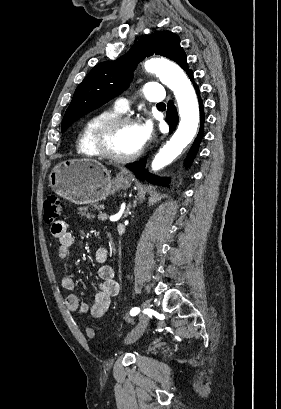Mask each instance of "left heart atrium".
Instances as JSON below:
<instances>
[{"label":"left heart atrium","instance_id":"1","mask_svg":"<svg viewBox=\"0 0 281 409\" xmlns=\"http://www.w3.org/2000/svg\"><path fill=\"white\" fill-rule=\"evenodd\" d=\"M139 138L141 144L144 145L152 136V125L150 122H145L138 126Z\"/></svg>","mask_w":281,"mask_h":409}]
</instances>
